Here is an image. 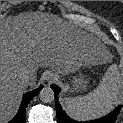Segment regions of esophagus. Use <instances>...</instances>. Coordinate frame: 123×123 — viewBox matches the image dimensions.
Returning <instances> with one entry per match:
<instances>
[{
  "mask_svg": "<svg viewBox=\"0 0 123 123\" xmlns=\"http://www.w3.org/2000/svg\"><path fill=\"white\" fill-rule=\"evenodd\" d=\"M54 79H55V77H54L53 75H48V76L46 77V80H47L48 82H52V81H54Z\"/></svg>",
  "mask_w": 123,
  "mask_h": 123,
  "instance_id": "esophagus-1",
  "label": "esophagus"
}]
</instances>
